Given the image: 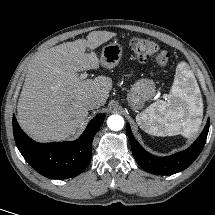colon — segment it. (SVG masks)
<instances>
[{
    "label": "colon",
    "mask_w": 215,
    "mask_h": 215,
    "mask_svg": "<svg viewBox=\"0 0 215 215\" xmlns=\"http://www.w3.org/2000/svg\"><path fill=\"white\" fill-rule=\"evenodd\" d=\"M130 47L140 61L154 58L160 66H165L170 60V53L149 39L134 38L130 42Z\"/></svg>",
    "instance_id": "obj_1"
}]
</instances>
